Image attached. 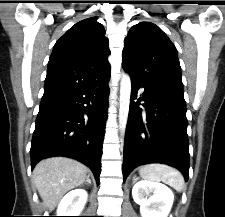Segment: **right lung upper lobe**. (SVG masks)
Segmentation results:
<instances>
[{
    "label": "right lung upper lobe",
    "instance_id": "cb5924a9",
    "mask_svg": "<svg viewBox=\"0 0 225 217\" xmlns=\"http://www.w3.org/2000/svg\"><path fill=\"white\" fill-rule=\"evenodd\" d=\"M108 40L96 17L72 26L54 45L43 96L95 86L110 78Z\"/></svg>",
    "mask_w": 225,
    "mask_h": 217
}]
</instances>
